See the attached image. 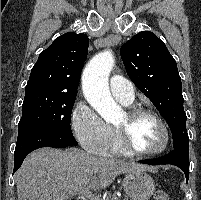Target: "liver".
I'll return each mask as SVG.
<instances>
[{
  "mask_svg": "<svg viewBox=\"0 0 201 200\" xmlns=\"http://www.w3.org/2000/svg\"><path fill=\"white\" fill-rule=\"evenodd\" d=\"M146 170L145 165L75 148L44 147L30 153L17 172L18 200H67L85 189H105L119 174Z\"/></svg>",
  "mask_w": 201,
  "mask_h": 200,
  "instance_id": "liver-1",
  "label": "liver"
}]
</instances>
